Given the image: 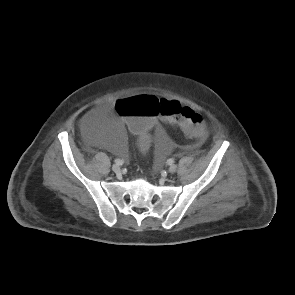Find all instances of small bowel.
Returning <instances> with one entry per match:
<instances>
[{
	"label": "small bowel",
	"instance_id": "small-bowel-1",
	"mask_svg": "<svg viewBox=\"0 0 295 295\" xmlns=\"http://www.w3.org/2000/svg\"><path fill=\"white\" fill-rule=\"evenodd\" d=\"M160 118H161V116H160ZM164 122H168V123H173L172 121H164ZM157 125H160V123H159V119H158V121L152 126V129H154V127L155 126H157ZM161 126V125H160ZM151 129V130H152ZM135 134V133H134Z\"/></svg>",
	"mask_w": 295,
	"mask_h": 295
}]
</instances>
